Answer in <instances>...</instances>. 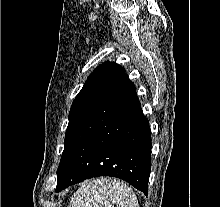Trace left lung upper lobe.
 I'll use <instances>...</instances> for the list:
<instances>
[{
    "label": "left lung upper lobe",
    "instance_id": "obj_1",
    "mask_svg": "<svg viewBox=\"0 0 220 207\" xmlns=\"http://www.w3.org/2000/svg\"><path fill=\"white\" fill-rule=\"evenodd\" d=\"M124 73L125 69L122 66L113 62H105L89 75L72 103L65 134V145L86 117Z\"/></svg>",
    "mask_w": 220,
    "mask_h": 207
}]
</instances>
